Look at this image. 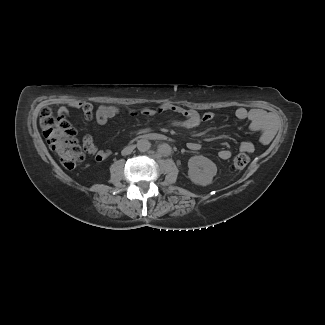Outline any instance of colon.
I'll return each instance as SVG.
<instances>
[{
  "label": "colon",
  "mask_w": 325,
  "mask_h": 325,
  "mask_svg": "<svg viewBox=\"0 0 325 325\" xmlns=\"http://www.w3.org/2000/svg\"><path fill=\"white\" fill-rule=\"evenodd\" d=\"M40 123L47 143L65 168L73 169L83 161L84 151L78 140L65 134L57 118L53 116L48 108L41 111ZM249 162V156L240 153L233 159L231 169L242 170L247 167Z\"/></svg>",
  "instance_id": "obj_1"
}]
</instances>
